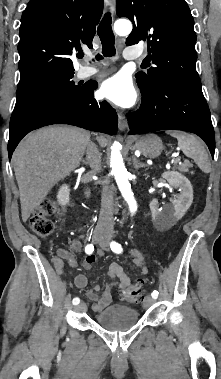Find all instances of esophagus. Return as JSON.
<instances>
[{
  "label": "esophagus",
  "mask_w": 221,
  "mask_h": 379,
  "mask_svg": "<svg viewBox=\"0 0 221 379\" xmlns=\"http://www.w3.org/2000/svg\"><path fill=\"white\" fill-rule=\"evenodd\" d=\"M106 4L108 5L109 11L113 12L115 8V0H106ZM118 127L121 131H124L127 127L126 116L122 113L118 114Z\"/></svg>",
  "instance_id": "obj_1"
}]
</instances>
